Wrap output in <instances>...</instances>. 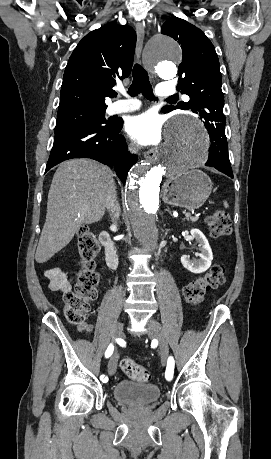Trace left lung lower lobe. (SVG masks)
I'll use <instances>...</instances> for the list:
<instances>
[{
    "label": "left lung lower lobe",
    "mask_w": 271,
    "mask_h": 459,
    "mask_svg": "<svg viewBox=\"0 0 271 459\" xmlns=\"http://www.w3.org/2000/svg\"><path fill=\"white\" fill-rule=\"evenodd\" d=\"M202 122L210 134L209 158L206 166L215 167L217 170L233 178V172L228 156V144L225 135V117H211Z\"/></svg>",
    "instance_id": "obj_1"
}]
</instances>
